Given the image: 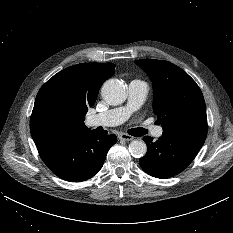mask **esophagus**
I'll use <instances>...</instances> for the list:
<instances>
[{
    "mask_svg": "<svg viewBox=\"0 0 233 233\" xmlns=\"http://www.w3.org/2000/svg\"><path fill=\"white\" fill-rule=\"evenodd\" d=\"M118 138H119L120 140H122V141H131V140L134 139L133 136L128 135V134H125V133L120 134V135L118 136Z\"/></svg>",
    "mask_w": 233,
    "mask_h": 233,
    "instance_id": "obj_1",
    "label": "esophagus"
}]
</instances>
